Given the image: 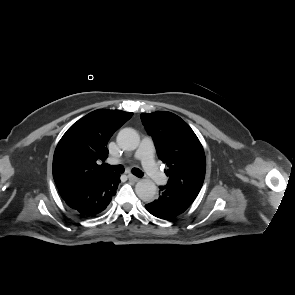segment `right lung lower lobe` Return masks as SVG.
I'll return each mask as SVG.
<instances>
[{
    "instance_id": "98d812e1",
    "label": "right lung lower lobe",
    "mask_w": 295,
    "mask_h": 295,
    "mask_svg": "<svg viewBox=\"0 0 295 295\" xmlns=\"http://www.w3.org/2000/svg\"><path fill=\"white\" fill-rule=\"evenodd\" d=\"M119 183L120 175L113 173L90 185L59 189V193L70 208L92 218L106 209Z\"/></svg>"
}]
</instances>
